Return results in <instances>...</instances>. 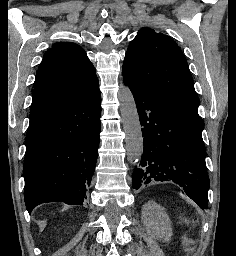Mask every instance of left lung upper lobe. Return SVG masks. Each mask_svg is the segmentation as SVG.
<instances>
[{
    "label": "left lung upper lobe",
    "mask_w": 236,
    "mask_h": 256,
    "mask_svg": "<svg viewBox=\"0 0 236 256\" xmlns=\"http://www.w3.org/2000/svg\"><path fill=\"white\" fill-rule=\"evenodd\" d=\"M122 74L129 82L198 110L199 98L186 58L167 35L141 29L127 49Z\"/></svg>",
    "instance_id": "5c2ea615"
}]
</instances>
